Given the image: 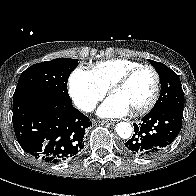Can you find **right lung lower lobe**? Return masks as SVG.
I'll return each instance as SVG.
<instances>
[{"label":"right lung lower lobe","instance_id":"1","mask_svg":"<svg viewBox=\"0 0 196 196\" xmlns=\"http://www.w3.org/2000/svg\"><path fill=\"white\" fill-rule=\"evenodd\" d=\"M13 127L22 149L36 159L59 163L84 147L90 119L62 97L36 93L13 101Z\"/></svg>","mask_w":196,"mask_h":196}]
</instances>
